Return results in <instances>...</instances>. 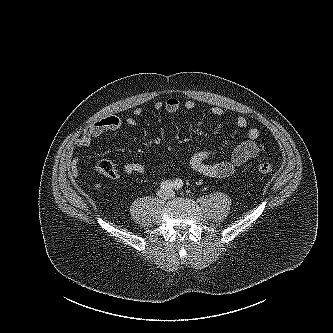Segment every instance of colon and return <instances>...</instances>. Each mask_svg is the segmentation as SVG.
Segmentation results:
<instances>
[{
  "instance_id": "1",
  "label": "colon",
  "mask_w": 333,
  "mask_h": 333,
  "mask_svg": "<svg viewBox=\"0 0 333 333\" xmlns=\"http://www.w3.org/2000/svg\"><path fill=\"white\" fill-rule=\"evenodd\" d=\"M256 170L261 174H268L274 170V164L267 160H261L256 163Z\"/></svg>"
}]
</instances>
